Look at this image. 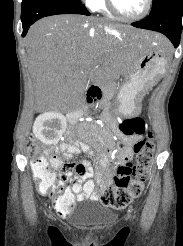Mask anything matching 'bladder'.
Segmentation results:
<instances>
[{"instance_id": "obj_1", "label": "bladder", "mask_w": 183, "mask_h": 246, "mask_svg": "<svg viewBox=\"0 0 183 246\" xmlns=\"http://www.w3.org/2000/svg\"><path fill=\"white\" fill-rule=\"evenodd\" d=\"M111 216L110 209L103 206H93L75 215L74 220L80 226H98L106 223Z\"/></svg>"}]
</instances>
